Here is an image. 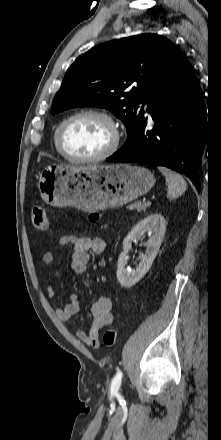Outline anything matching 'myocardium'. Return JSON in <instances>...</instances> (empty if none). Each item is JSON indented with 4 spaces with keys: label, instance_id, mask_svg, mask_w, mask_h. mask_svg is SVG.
<instances>
[{
    "label": "myocardium",
    "instance_id": "myocardium-1",
    "mask_svg": "<svg viewBox=\"0 0 221 440\" xmlns=\"http://www.w3.org/2000/svg\"><path fill=\"white\" fill-rule=\"evenodd\" d=\"M83 116H95V117H99V118L105 120L111 128L112 140H111L110 145L102 153H100L98 155L91 156V157H74V156L69 155L63 147V143H62L63 131H64V128L71 121H73L76 118L83 117ZM119 142H120V132H119L118 126L115 123L114 119L108 113H106L102 110H98V109H83L78 112H75L74 114L70 115L65 120H63L59 124V126L57 127L56 132H55V145H56L58 152L65 159H67L68 161L73 162V163H93V162H99V161L105 160V159L109 158L110 156H112L117 151L118 146H119Z\"/></svg>",
    "mask_w": 221,
    "mask_h": 440
}]
</instances>
